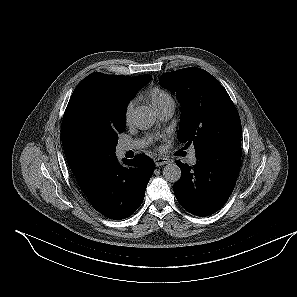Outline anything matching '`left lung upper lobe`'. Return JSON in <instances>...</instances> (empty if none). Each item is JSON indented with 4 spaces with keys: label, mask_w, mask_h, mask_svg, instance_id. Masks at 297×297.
Returning a JSON list of instances; mask_svg holds the SVG:
<instances>
[{
    "label": "left lung upper lobe",
    "mask_w": 297,
    "mask_h": 297,
    "mask_svg": "<svg viewBox=\"0 0 297 297\" xmlns=\"http://www.w3.org/2000/svg\"><path fill=\"white\" fill-rule=\"evenodd\" d=\"M159 83L176 93L181 105L178 140L196 154L241 139L238 111L225 88L207 71L189 67L164 73Z\"/></svg>",
    "instance_id": "left-lung-upper-lobe-1"
}]
</instances>
